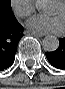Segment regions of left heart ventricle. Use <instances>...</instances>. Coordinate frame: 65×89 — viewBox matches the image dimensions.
<instances>
[{
  "instance_id": "b2bd125f",
  "label": "left heart ventricle",
  "mask_w": 65,
  "mask_h": 89,
  "mask_svg": "<svg viewBox=\"0 0 65 89\" xmlns=\"http://www.w3.org/2000/svg\"><path fill=\"white\" fill-rule=\"evenodd\" d=\"M50 13L53 15H59L65 19V10L61 4H56L51 10Z\"/></svg>"
}]
</instances>
